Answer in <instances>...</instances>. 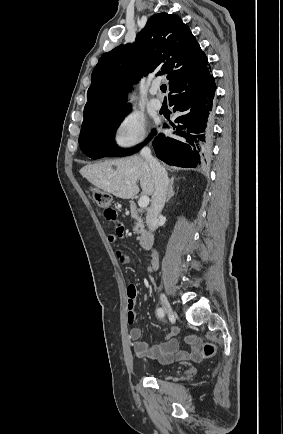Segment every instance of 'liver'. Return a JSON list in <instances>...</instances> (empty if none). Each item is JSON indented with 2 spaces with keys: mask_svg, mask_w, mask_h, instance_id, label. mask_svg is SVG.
<instances>
[{
  "mask_svg": "<svg viewBox=\"0 0 283 434\" xmlns=\"http://www.w3.org/2000/svg\"><path fill=\"white\" fill-rule=\"evenodd\" d=\"M80 174L103 191L121 199H130L140 191L153 195L154 180L147 161L139 155L88 164L80 169Z\"/></svg>",
  "mask_w": 283,
  "mask_h": 434,
  "instance_id": "1",
  "label": "liver"
}]
</instances>
